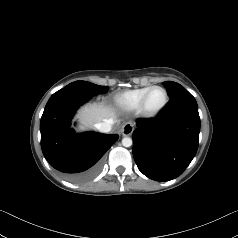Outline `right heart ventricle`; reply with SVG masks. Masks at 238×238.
Returning a JSON list of instances; mask_svg holds the SVG:
<instances>
[{"instance_id":"obj_1","label":"right heart ventricle","mask_w":238,"mask_h":238,"mask_svg":"<svg viewBox=\"0 0 238 238\" xmlns=\"http://www.w3.org/2000/svg\"><path fill=\"white\" fill-rule=\"evenodd\" d=\"M149 88L150 86L125 91L115 97V103L124 110H137L144 94Z\"/></svg>"}]
</instances>
